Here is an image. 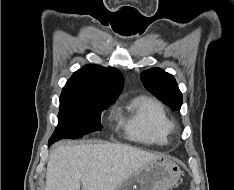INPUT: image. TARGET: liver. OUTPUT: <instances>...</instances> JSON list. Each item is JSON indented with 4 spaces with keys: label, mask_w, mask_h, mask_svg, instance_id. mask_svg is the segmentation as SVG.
Masks as SVG:
<instances>
[{
    "label": "liver",
    "mask_w": 234,
    "mask_h": 190,
    "mask_svg": "<svg viewBox=\"0 0 234 190\" xmlns=\"http://www.w3.org/2000/svg\"><path fill=\"white\" fill-rule=\"evenodd\" d=\"M160 156L118 143L58 146L49 157L45 190H115Z\"/></svg>",
    "instance_id": "liver-1"
}]
</instances>
